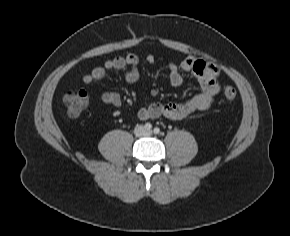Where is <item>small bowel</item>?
Masks as SVG:
<instances>
[{
  "instance_id": "c3829d8e",
  "label": "small bowel",
  "mask_w": 290,
  "mask_h": 236,
  "mask_svg": "<svg viewBox=\"0 0 290 236\" xmlns=\"http://www.w3.org/2000/svg\"><path fill=\"white\" fill-rule=\"evenodd\" d=\"M146 62L154 64L155 57L149 55ZM139 58L134 53L126 56H117L106 60L102 65L93 68L83 77L87 86H92L96 81L102 79L109 71L124 72L128 83H135L139 80L138 72ZM192 73L197 79L201 91L191 99L183 103H152L138 110L137 116L140 120L165 117L173 121L184 120L196 112L207 110L213 103L215 95L219 92L217 76L219 69L217 65L196 60L192 57L184 58L180 64L171 62L169 64V81L172 86H180L183 83L181 71ZM105 104L119 107L122 104L121 96L116 92H105L101 96Z\"/></svg>"
}]
</instances>
